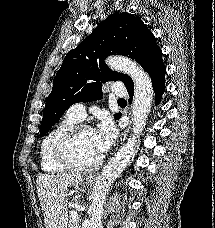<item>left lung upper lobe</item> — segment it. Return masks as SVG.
Segmentation results:
<instances>
[{
  "mask_svg": "<svg viewBox=\"0 0 215 228\" xmlns=\"http://www.w3.org/2000/svg\"><path fill=\"white\" fill-rule=\"evenodd\" d=\"M160 50L154 35L139 17L127 12L110 15L65 56L46 99L40 136L45 135L72 104L100 99L102 82L120 80L127 89L133 85L128 75L106 66V57L128 56L146 71ZM118 115L115 114L116 119Z\"/></svg>",
  "mask_w": 215,
  "mask_h": 228,
  "instance_id": "1",
  "label": "left lung upper lobe"
}]
</instances>
